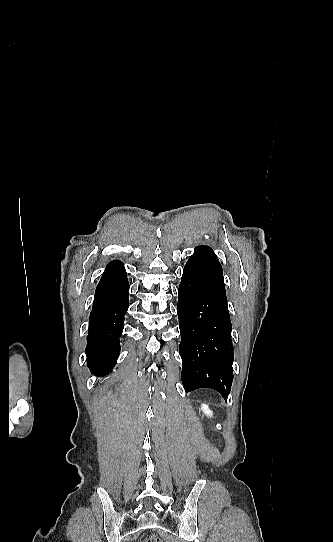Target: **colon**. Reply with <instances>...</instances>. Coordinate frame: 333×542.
I'll use <instances>...</instances> for the list:
<instances>
[{"mask_svg": "<svg viewBox=\"0 0 333 542\" xmlns=\"http://www.w3.org/2000/svg\"><path fill=\"white\" fill-rule=\"evenodd\" d=\"M141 542H163L162 536H143Z\"/></svg>", "mask_w": 333, "mask_h": 542, "instance_id": "colon-1", "label": "colon"}]
</instances>
